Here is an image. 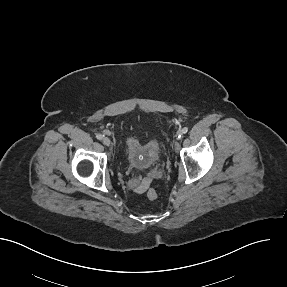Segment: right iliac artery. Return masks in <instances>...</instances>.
Returning <instances> with one entry per match:
<instances>
[{
  "instance_id": "1",
  "label": "right iliac artery",
  "mask_w": 287,
  "mask_h": 287,
  "mask_svg": "<svg viewBox=\"0 0 287 287\" xmlns=\"http://www.w3.org/2000/svg\"><path fill=\"white\" fill-rule=\"evenodd\" d=\"M103 137H104V136L101 135V134H96V138H97L98 140H101Z\"/></svg>"
}]
</instances>
